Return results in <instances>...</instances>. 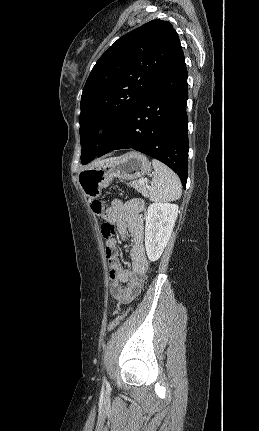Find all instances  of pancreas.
I'll use <instances>...</instances> for the list:
<instances>
[{
	"label": "pancreas",
	"instance_id": "cf45deb5",
	"mask_svg": "<svg viewBox=\"0 0 259 431\" xmlns=\"http://www.w3.org/2000/svg\"><path fill=\"white\" fill-rule=\"evenodd\" d=\"M130 185L137 190L139 193H141L144 197H149V192L147 189V185L145 183H140L139 180L132 181Z\"/></svg>",
	"mask_w": 259,
	"mask_h": 431
}]
</instances>
